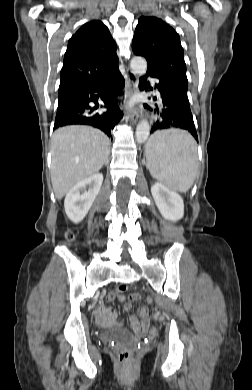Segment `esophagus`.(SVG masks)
<instances>
[{
    "label": "esophagus",
    "instance_id": "esophagus-1",
    "mask_svg": "<svg viewBox=\"0 0 252 390\" xmlns=\"http://www.w3.org/2000/svg\"><path fill=\"white\" fill-rule=\"evenodd\" d=\"M127 84H128V94L133 95L137 91L138 78L137 76L130 70L127 71ZM141 107H136L129 115L128 121L130 124L135 125L138 121Z\"/></svg>",
    "mask_w": 252,
    "mask_h": 390
}]
</instances>
